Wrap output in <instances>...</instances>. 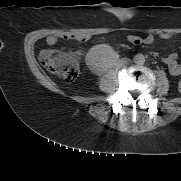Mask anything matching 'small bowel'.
Returning a JSON list of instances; mask_svg holds the SVG:
<instances>
[{"mask_svg":"<svg viewBox=\"0 0 181 181\" xmlns=\"http://www.w3.org/2000/svg\"><path fill=\"white\" fill-rule=\"evenodd\" d=\"M170 33H160L158 35L161 39H170L172 38ZM59 39L64 40H76V41H87L90 39V35L87 34H73V33H64L62 35H51L47 38V44L54 46L58 43ZM128 40L134 45L146 44L150 45L154 42L155 37L152 34H148L145 37H140L136 35L128 36ZM153 57H158L156 53H152ZM163 62L168 66L169 72L171 75L177 76L181 74V63L177 61V54L172 53L164 57Z\"/></svg>","mask_w":181,"mask_h":181,"instance_id":"small-bowel-1","label":"small bowel"}]
</instances>
